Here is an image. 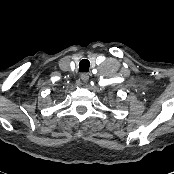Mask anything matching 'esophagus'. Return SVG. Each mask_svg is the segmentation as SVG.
Wrapping results in <instances>:
<instances>
[{
  "instance_id": "34e87169",
  "label": "esophagus",
  "mask_w": 174,
  "mask_h": 174,
  "mask_svg": "<svg viewBox=\"0 0 174 174\" xmlns=\"http://www.w3.org/2000/svg\"><path fill=\"white\" fill-rule=\"evenodd\" d=\"M80 78H81V80L83 81V82H87L88 80H89V74L88 73H82L81 75H80Z\"/></svg>"
}]
</instances>
